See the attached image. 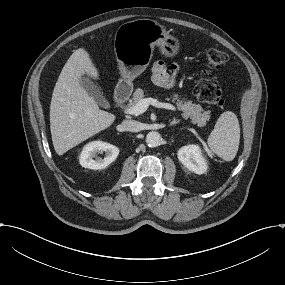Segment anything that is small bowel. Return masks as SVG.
Masks as SVG:
<instances>
[{"instance_id": "small-bowel-1", "label": "small bowel", "mask_w": 285, "mask_h": 285, "mask_svg": "<svg viewBox=\"0 0 285 285\" xmlns=\"http://www.w3.org/2000/svg\"><path fill=\"white\" fill-rule=\"evenodd\" d=\"M177 67L157 61L152 68L153 82L163 88H171L174 85Z\"/></svg>"}]
</instances>
